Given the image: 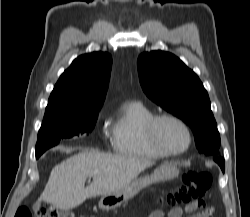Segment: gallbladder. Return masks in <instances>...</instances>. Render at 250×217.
<instances>
[{
	"instance_id": "gallbladder-1",
	"label": "gallbladder",
	"mask_w": 250,
	"mask_h": 217,
	"mask_svg": "<svg viewBox=\"0 0 250 217\" xmlns=\"http://www.w3.org/2000/svg\"><path fill=\"white\" fill-rule=\"evenodd\" d=\"M40 207V204L34 205V210L36 211Z\"/></svg>"
}]
</instances>
